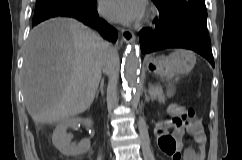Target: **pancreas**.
I'll list each match as a JSON object with an SVG mask.
<instances>
[{"mask_svg": "<svg viewBox=\"0 0 242 160\" xmlns=\"http://www.w3.org/2000/svg\"><path fill=\"white\" fill-rule=\"evenodd\" d=\"M151 97L153 99H162L163 98V92L160 85H151L149 90Z\"/></svg>", "mask_w": 242, "mask_h": 160, "instance_id": "pancreas-1", "label": "pancreas"}]
</instances>
